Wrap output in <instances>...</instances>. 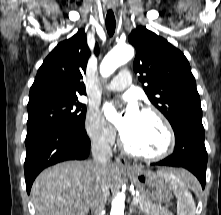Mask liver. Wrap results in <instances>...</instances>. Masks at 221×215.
<instances>
[{"mask_svg": "<svg viewBox=\"0 0 221 215\" xmlns=\"http://www.w3.org/2000/svg\"><path fill=\"white\" fill-rule=\"evenodd\" d=\"M117 174V166L107 163L108 188L115 183ZM95 188L92 162L69 161L52 166L41 172L32 185L36 215H87Z\"/></svg>", "mask_w": 221, "mask_h": 215, "instance_id": "6515ba94", "label": "liver"}]
</instances>
